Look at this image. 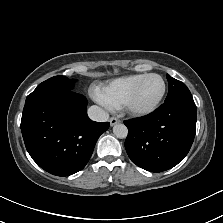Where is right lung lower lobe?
I'll list each match as a JSON object with an SVG mask.
<instances>
[{
    "label": "right lung lower lobe",
    "mask_w": 223,
    "mask_h": 223,
    "mask_svg": "<svg viewBox=\"0 0 223 223\" xmlns=\"http://www.w3.org/2000/svg\"><path fill=\"white\" fill-rule=\"evenodd\" d=\"M109 125L92 121L87 115L86 98L72 91L26 101L21 119L28 153L41 168L56 176L83 169Z\"/></svg>",
    "instance_id": "obj_1"
}]
</instances>
